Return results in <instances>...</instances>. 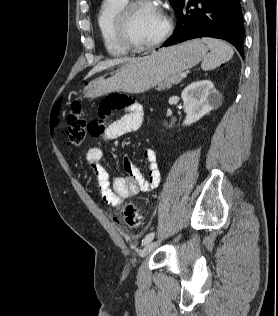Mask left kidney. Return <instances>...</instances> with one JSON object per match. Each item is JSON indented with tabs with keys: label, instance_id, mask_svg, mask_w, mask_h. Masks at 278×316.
Masks as SVG:
<instances>
[{
	"label": "left kidney",
	"instance_id": "1",
	"mask_svg": "<svg viewBox=\"0 0 278 316\" xmlns=\"http://www.w3.org/2000/svg\"><path fill=\"white\" fill-rule=\"evenodd\" d=\"M186 118L183 125H191L214 109L219 101V93L210 80L196 81L182 92Z\"/></svg>",
	"mask_w": 278,
	"mask_h": 316
}]
</instances>
